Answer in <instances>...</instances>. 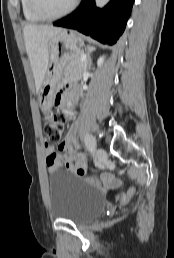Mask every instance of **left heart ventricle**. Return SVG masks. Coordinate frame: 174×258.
I'll return each instance as SVG.
<instances>
[{"label": "left heart ventricle", "instance_id": "left-heart-ventricle-1", "mask_svg": "<svg viewBox=\"0 0 174 258\" xmlns=\"http://www.w3.org/2000/svg\"><path fill=\"white\" fill-rule=\"evenodd\" d=\"M73 0H39L40 6L49 14H57L65 10Z\"/></svg>", "mask_w": 174, "mask_h": 258}]
</instances>
